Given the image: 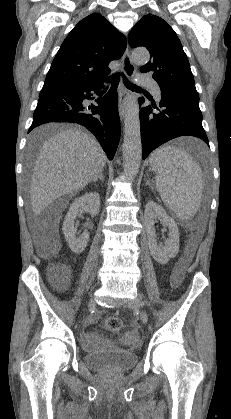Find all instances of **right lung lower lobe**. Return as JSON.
Returning a JSON list of instances; mask_svg holds the SVG:
<instances>
[{
	"instance_id": "98d812e1",
	"label": "right lung lower lobe",
	"mask_w": 231,
	"mask_h": 419,
	"mask_svg": "<svg viewBox=\"0 0 231 419\" xmlns=\"http://www.w3.org/2000/svg\"><path fill=\"white\" fill-rule=\"evenodd\" d=\"M107 79L95 83L80 84L68 90L39 98L28 132L40 124L49 122L79 123L95 135L107 157L112 160L120 139L116 93L118 76L109 79L112 80V86L102 99L96 100L98 106L83 104V100L92 99L93 94L101 96L99 90Z\"/></svg>"
}]
</instances>
